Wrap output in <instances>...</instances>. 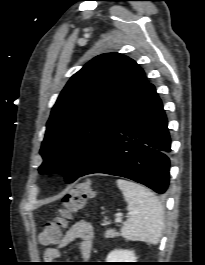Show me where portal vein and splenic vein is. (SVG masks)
Segmentation results:
<instances>
[{
	"label": "portal vein and splenic vein",
	"instance_id": "obj_1",
	"mask_svg": "<svg viewBox=\"0 0 205 265\" xmlns=\"http://www.w3.org/2000/svg\"><path fill=\"white\" fill-rule=\"evenodd\" d=\"M129 215H130V213H129ZM122 220H121V218L120 217H117L116 219H115V222L116 223H120Z\"/></svg>",
	"mask_w": 205,
	"mask_h": 265
}]
</instances>
